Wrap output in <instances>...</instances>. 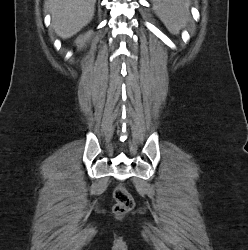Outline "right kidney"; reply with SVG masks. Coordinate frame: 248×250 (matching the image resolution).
Instances as JSON below:
<instances>
[{
	"instance_id": "ca27d5eb",
	"label": "right kidney",
	"mask_w": 248,
	"mask_h": 250,
	"mask_svg": "<svg viewBox=\"0 0 248 250\" xmlns=\"http://www.w3.org/2000/svg\"><path fill=\"white\" fill-rule=\"evenodd\" d=\"M91 33H86L84 35H80L79 37H77V39L75 40V44L77 46L78 49H81L85 46L86 41L89 39Z\"/></svg>"
}]
</instances>
